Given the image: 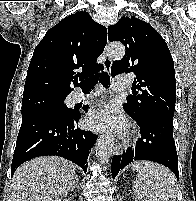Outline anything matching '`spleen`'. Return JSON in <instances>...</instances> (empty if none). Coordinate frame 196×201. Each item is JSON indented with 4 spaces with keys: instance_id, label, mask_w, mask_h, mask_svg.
Here are the masks:
<instances>
[{
    "instance_id": "spleen-1",
    "label": "spleen",
    "mask_w": 196,
    "mask_h": 201,
    "mask_svg": "<svg viewBox=\"0 0 196 201\" xmlns=\"http://www.w3.org/2000/svg\"><path fill=\"white\" fill-rule=\"evenodd\" d=\"M132 168L138 173L134 187L140 201L176 200V178L169 169L149 161L134 162Z\"/></svg>"
}]
</instances>
